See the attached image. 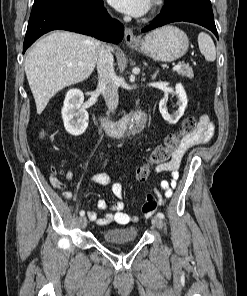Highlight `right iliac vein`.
Wrapping results in <instances>:
<instances>
[{
    "instance_id": "obj_1",
    "label": "right iliac vein",
    "mask_w": 247,
    "mask_h": 296,
    "mask_svg": "<svg viewBox=\"0 0 247 296\" xmlns=\"http://www.w3.org/2000/svg\"><path fill=\"white\" fill-rule=\"evenodd\" d=\"M79 222H80L81 226L84 228L87 225V218L83 216L79 219Z\"/></svg>"
}]
</instances>
